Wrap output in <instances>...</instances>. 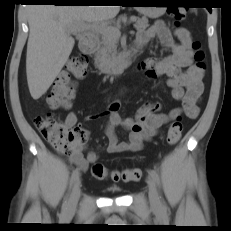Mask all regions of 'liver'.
Wrapping results in <instances>:
<instances>
[{
	"mask_svg": "<svg viewBox=\"0 0 231 231\" xmlns=\"http://www.w3.org/2000/svg\"><path fill=\"white\" fill-rule=\"evenodd\" d=\"M29 39L26 74L34 100L44 95L67 62L75 41L68 29L82 24L113 19L119 6H55L27 7Z\"/></svg>",
	"mask_w": 231,
	"mask_h": 231,
	"instance_id": "obj_1",
	"label": "liver"
}]
</instances>
